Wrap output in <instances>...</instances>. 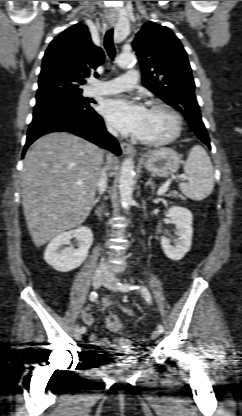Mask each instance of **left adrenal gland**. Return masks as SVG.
Instances as JSON below:
<instances>
[{"label":"left adrenal gland","instance_id":"1","mask_svg":"<svg viewBox=\"0 0 242 416\" xmlns=\"http://www.w3.org/2000/svg\"><path fill=\"white\" fill-rule=\"evenodd\" d=\"M146 186H150L151 190H152V191H154V189H155V184H154V182L152 181V177H150V178H149V180L145 183V187H146Z\"/></svg>","mask_w":242,"mask_h":416}]
</instances>
